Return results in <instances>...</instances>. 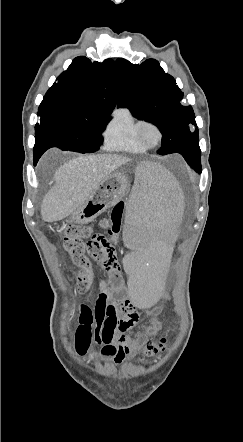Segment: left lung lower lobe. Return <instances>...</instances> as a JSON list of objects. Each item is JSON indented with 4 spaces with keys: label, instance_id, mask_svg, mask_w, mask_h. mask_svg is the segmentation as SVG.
<instances>
[{
    "label": "left lung lower lobe",
    "instance_id": "1",
    "mask_svg": "<svg viewBox=\"0 0 243 442\" xmlns=\"http://www.w3.org/2000/svg\"><path fill=\"white\" fill-rule=\"evenodd\" d=\"M200 156H201V151L199 149L196 152H194L193 154H191L189 156H185V160L187 161L188 164H192V162L194 160H197L200 162Z\"/></svg>",
    "mask_w": 243,
    "mask_h": 442
}]
</instances>
